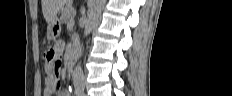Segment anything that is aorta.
Returning <instances> with one entry per match:
<instances>
[{
    "mask_svg": "<svg viewBox=\"0 0 232 96\" xmlns=\"http://www.w3.org/2000/svg\"><path fill=\"white\" fill-rule=\"evenodd\" d=\"M105 0H90L89 1V8L87 12V20L85 22V29H84V36H87L95 23L97 22L101 10L104 6ZM75 75L80 76L82 75V69L80 66H77L74 70Z\"/></svg>",
    "mask_w": 232,
    "mask_h": 96,
    "instance_id": "aorta-1",
    "label": "aorta"
}]
</instances>
